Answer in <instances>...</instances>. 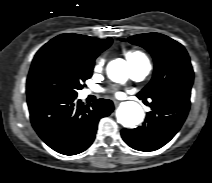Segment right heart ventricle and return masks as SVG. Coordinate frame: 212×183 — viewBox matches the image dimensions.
<instances>
[{
  "mask_svg": "<svg viewBox=\"0 0 212 183\" xmlns=\"http://www.w3.org/2000/svg\"><path fill=\"white\" fill-rule=\"evenodd\" d=\"M126 58L129 62V64H132L134 62L140 61V60H147V57L145 54H143L140 51H130L126 53Z\"/></svg>",
  "mask_w": 212,
  "mask_h": 183,
  "instance_id": "obj_1",
  "label": "right heart ventricle"
}]
</instances>
